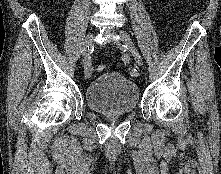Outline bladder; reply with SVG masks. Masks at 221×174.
Masks as SVG:
<instances>
[{
	"mask_svg": "<svg viewBox=\"0 0 221 174\" xmlns=\"http://www.w3.org/2000/svg\"><path fill=\"white\" fill-rule=\"evenodd\" d=\"M87 106L102 114H127L140 101L135 82L119 72H105L94 78L85 91Z\"/></svg>",
	"mask_w": 221,
	"mask_h": 174,
	"instance_id": "1",
	"label": "bladder"
}]
</instances>
